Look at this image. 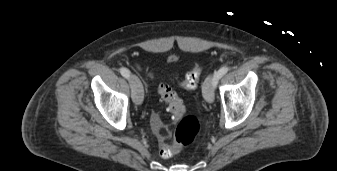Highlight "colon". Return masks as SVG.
Masks as SVG:
<instances>
[{"instance_id": "1", "label": "colon", "mask_w": 337, "mask_h": 171, "mask_svg": "<svg viewBox=\"0 0 337 171\" xmlns=\"http://www.w3.org/2000/svg\"><path fill=\"white\" fill-rule=\"evenodd\" d=\"M201 73L202 67L196 65L185 75L180 82V86L184 89H194L198 85ZM158 92L168 104L169 110L176 120L172 140L168 134L169 125L167 123L160 118H156L153 122V130L160 144V155L163 158H170L195 140L201 125L197 117L185 113L182 99L168 85L160 84Z\"/></svg>"}]
</instances>
